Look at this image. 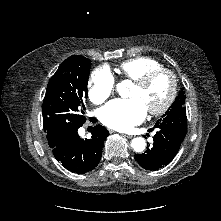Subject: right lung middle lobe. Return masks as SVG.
<instances>
[{"instance_id":"right-lung-middle-lobe-1","label":"right lung middle lobe","mask_w":221,"mask_h":221,"mask_svg":"<svg viewBox=\"0 0 221 221\" xmlns=\"http://www.w3.org/2000/svg\"><path fill=\"white\" fill-rule=\"evenodd\" d=\"M91 60L70 56L51 77L43 100V128L48 142L79 128L86 121L84 100Z\"/></svg>"}]
</instances>
